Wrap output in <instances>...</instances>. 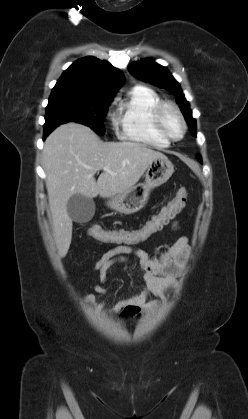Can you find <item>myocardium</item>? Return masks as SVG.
<instances>
[{"instance_id": "f54148a6", "label": "myocardium", "mask_w": 248, "mask_h": 419, "mask_svg": "<svg viewBox=\"0 0 248 419\" xmlns=\"http://www.w3.org/2000/svg\"><path fill=\"white\" fill-rule=\"evenodd\" d=\"M167 109H171L172 111L175 112V114L177 115V117L179 118L181 125H182V132L181 135L179 137H174L172 136L165 128L164 126V121H163V115L164 112ZM152 120H153V125L155 130L163 137L165 138L168 142H177L183 139V137L186 134L187 131V123L186 120L181 112V110L179 109V107L172 103V102H161L159 103L153 110L152 113Z\"/></svg>"}]
</instances>
